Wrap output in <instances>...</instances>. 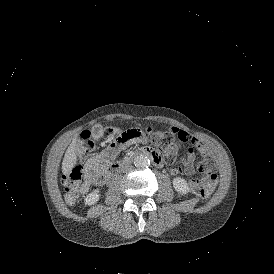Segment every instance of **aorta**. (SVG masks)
<instances>
[{
	"label": "aorta",
	"instance_id": "obj_1",
	"mask_svg": "<svg viewBox=\"0 0 274 274\" xmlns=\"http://www.w3.org/2000/svg\"><path fill=\"white\" fill-rule=\"evenodd\" d=\"M134 165L137 168L145 169V168L149 167L150 160L148 159V157L140 155L134 159Z\"/></svg>",
	"mask_w": 274,
	"mask_h": 274
}]
</instances>
